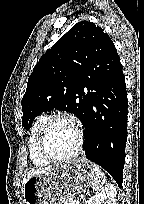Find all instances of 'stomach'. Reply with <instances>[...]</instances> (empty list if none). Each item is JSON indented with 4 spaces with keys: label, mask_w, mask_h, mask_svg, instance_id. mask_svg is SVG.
<instances>
[{
    "label": "stomach",
    "mask_w": 144,
    "mask_h": 204,
    "mask_svg": "<svg viewBox=\"0 0 144 204\" xmlns=\"http://www.w3.org/2000/svg\"><path fill=\"white\" fill-rule=\"evenodd\" d=\"M96 165L77 159L30 177L23 185L25 204H66L85 193L94 179Z\"/></svg>",
    "instance_id": "stomach-1"
}]
</instances>
